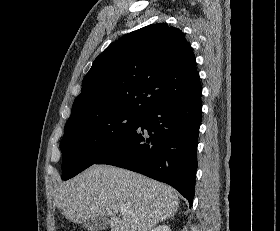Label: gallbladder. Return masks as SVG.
<instances>
[{
	"instance_id": "gallbladder-1",
	"label": "gallbladder",
	"mask_w": 280,
	"mask_h": 231,
	"mask_svg": "<svg viewBox=\"0 0 280 231\" xmlns=\"http://www.w3.org/2000/svg\"><path fill=\"white\" fill-rule=\"evenodd\" d=\"M109 221L104 215H97V217H91L87 221H83V227H87L90 231H98V229H107Z\"/></svg>"
}]
</instances>
